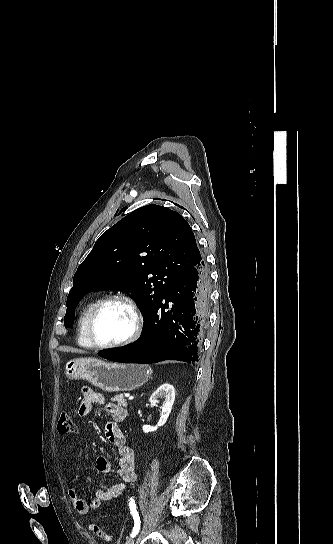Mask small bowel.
Segmentation results:
<instances>
[{
    "label": "small bowel",
    "mask_w": 333,
    "mask_h": 544,
    "mask_svg": "<svg viewBox=\"0 0 333 544\" xmlns=\"http://www.w3.org/2000/svg\"><path fill=\"white\" fill-rule=\"evenodd\" d=\"M81 401L78 407V414L85 417L91 413L94 404H105L107 411L111 414L113 421L109 422L105 427V435L107 440L114 445L119 454V462L117 473L123 480V483H114L105 489H99L95 495L88 501L82 499L77 491L70 487L68 496L73 505V508L79 514H86L91 509H96L102 501L112 500L119 497L125 490L127 483H133L137 479L135 472V455L133 450L127 446L126 438L119 427L118 423L122 422L126 417V410L121 405L114 402H105L104 397L95 392L90 387L84 386L81 388ZM96 468L100 473H111L113 465L109 459L104 456H99L96 460Z\"/></svg>",
    "instance_id": "obj_1"
}]
</instances>
